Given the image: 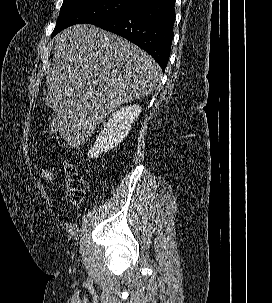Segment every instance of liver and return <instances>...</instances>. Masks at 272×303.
Segmentation results:
<instances>
[{
	"instance_id": "1",
	"label": "liver",
	"mask_w": 272,
	"mask_h": 303,
	"mask_svg": "<svg viewBox=\"0 0 272 303\" xmlns=\"http://www.w3.org/2000/svg\"><path fill=\"white\" fill-rule=\"evenodd\" d=\"M52 67L44 102L72 148L84 144L118 107L151 94L162 77L145 51L91 24L56 35Z\"/></svg>"
}]
</instances>
